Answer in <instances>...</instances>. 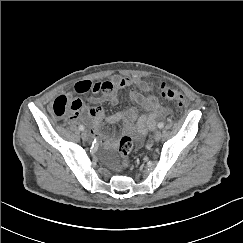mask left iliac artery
Here are the masks:
<instances>
[{
    "instance_id": "left-iliac-artery-1",
    "label": "left iliac artery",
    "mask_w": 243,
    "mask_h": 243,
    "mask_svg": "<svg viewBox=\"0 0 243 243\" xmlns=\"http://www.w3.org/2000/svg\"><path fill=\"white\" fill-rule=\"evenodd\" d=\"M157 126H158L159 129H162L164 127V124L162 122H160V123H158Z\"/></svg>"
}]
</instances>
